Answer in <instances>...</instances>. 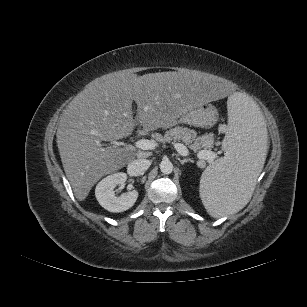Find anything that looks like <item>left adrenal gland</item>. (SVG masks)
<instances>
[{"label":"left adrenal gland","instance_id":"left-adrenal-gland-1","mask_svg":"<svg viewBox=\"0 0 307 307\" xmlns=\"http://www.w3.org/2000/svg\"><path fill=\"white\" fill-rule=\"evenodd\" d=\"M179 160V162L182 164V165H184L185 163H187V162H191V163H193V160L191 159V158H185V159H178Z\"/></svg>","mask_w":307,"mask_h":307}]
</instances>
